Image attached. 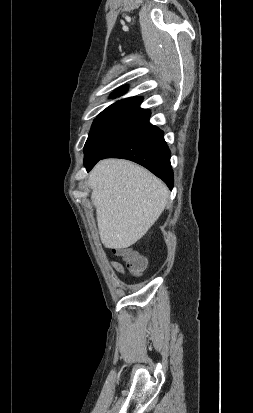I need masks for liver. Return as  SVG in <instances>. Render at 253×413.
I'll use <instances>...</instances> for the list:
<instances>
[{
	"mask_svg": "<svg viewBox=\"0 0 253 413\" xmlns=\"http://www.w3.org/2000/svg\"><path fill=\"white\" fill-rule=\"evenodd\" d=\"M88 185L100 239L110 249L127 248L140 240L168 202L166 185L127 160H101L90 172Z\"/></svg>",
	"mask_w": 253,
	"mask_h": 413,
	"instance_id": "1",
	"label": "liver"
}]
</instances>
